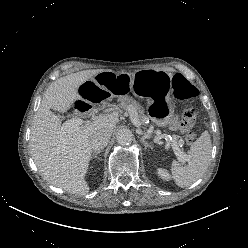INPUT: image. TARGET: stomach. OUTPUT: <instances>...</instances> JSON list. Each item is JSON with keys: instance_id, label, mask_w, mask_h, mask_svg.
Listing matches in <instances>:
<instances>
[{"instance_id": "stomach-1", "label": "stomach", "mask_w": 248, "mask_h": 248, "mask_svg": "<svg viewBox=\"0 0 248 248\" xmlns=\"http://www.w3.org/2000/svg\"><path fill=\"white\" fill-rule=\"evenodd\" d=\"M171 74L163 70H138L134 73L113 72L110 70L95 75L83 93V100L97 103L108 96L124 99L137 85L138 91L148 97L147 113L152 122L160 127L167 126L174 116L170 102Z\"/></svg>"}]
</instances>
